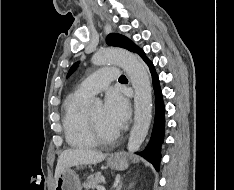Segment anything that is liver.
<instances>
[{"mask_svg": "<svg viewBox=\"0 0 234 190\" xmlns=\"http://www.w3.org/2000/svg\"><path fill=\"white\" fill-rule=\"evenodd\" d=\"M106 156V154L91 149L65 150L58 158L55 179L67 168L84 164H97L103 161Z\"/></svg>", "mask_w": 234, "mask_h": 190, "instance_id": "6515ba94", "label": "liver"}]
</instances>
